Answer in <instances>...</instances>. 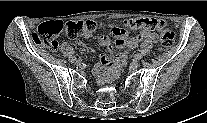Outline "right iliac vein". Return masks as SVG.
<instances>
[{"label": "right iliac vein", "instance_id": "obj_1", "mask_svg": "<svg viewBox=\"0 0 207 123\" xmlns=\"http://www.w3.org/2000/svg\"><path fill=\"white\" fill-rule=\"evenodd\" d=\"M72 63H74L75 65H80V61L77 59L75 61H73Z\"/></svg>", "mask_w": 207, "mask_h": 123}]
</instances>
